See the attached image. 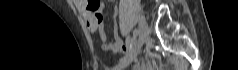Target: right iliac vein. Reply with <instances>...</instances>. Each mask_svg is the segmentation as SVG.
I'll use <instances>...</instances> for the list:
<instances>
[{
	"mask_svg": "<svg viewBox=\"0 0 238 70\" xmlns=\"http://www.w3.org/2000/svg\"><path fill=\"white\" fill-rule=\"evenodd\" d=\"M148 39V26L145 20H141L139 22V41L137 44L136 49L134 50L133 54L130 55L128 58L124 59L118 66L117 69H124L127 67L139 54L143 44Z\"/></svg>",
	"mask_w": 238,
	"mask_h": 70,
	"instance_id": "63e3f726",
	"label": "right iliac vein"
}]
</instances>
